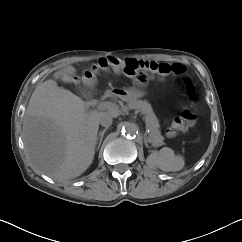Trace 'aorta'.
<instances>
[{
    "label": "aorta",
    "instance_id": "1",
    "mask_svg": "<svg viewBox=\"0 0 242 242\" xmlns=\"http://www.w3.org/2000/svg\"><path fill=\"white\" fill-rule=\"evenodd\" d=\"M123 131L128 135H136L138 133V127L136 124L131 122H126L123 126Z\"/></svg>",
    "mask_w": 242,
    "mask_h": 242
}]
</instances>
